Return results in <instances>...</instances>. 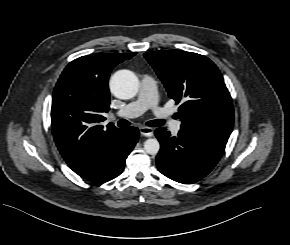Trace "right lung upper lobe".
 Returning a JSON list of instances; mask_svg holds the SVG:
<instances>
[{
    "mask_svg": "<svg viewBox=\"0 0 290 245\" xmlns=\"http://www.w3.org/2000/svg\"><path fill=\"white\" fill-rule=\"evenodd\" d=\"M136 53L95 54L70 62L53 92L51 126L55 143L76 173L96 166L120 143L123 128H106L111 70Z\"/></svg>",
    "mask_w": 290,
    "mask_h": 245,
    "instance_id": "1",
    "label": "right lung upper lobe"
}]
</instances>
